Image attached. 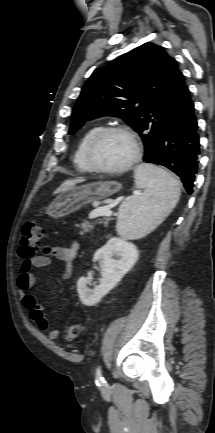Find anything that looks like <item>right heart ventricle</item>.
Segmentation results:
<instances>
[{"label": "right heart ventricle", "mask_w": 215, "mask_h": 433, "mask_svg": "<svg viewBox=\"0 0 215 433\" xmlns=\"http://www.w3.org/2000/svg\"><path fill=\"white\" fill-rule=\"evenodd\" d=\"M101 128H102V126L100 124H95V125L91 126L90 128H88L85 131V133L83 134V136L81 137L79 144L75 150L74 158H73L75 168L79 172H82V173L93 172V170L91 169V167L87 163V160L85 157V151H86V147H87L89 140Z\"/></svg>", "instance_id": "e07e8e85"}]
</instances>
